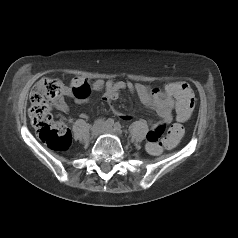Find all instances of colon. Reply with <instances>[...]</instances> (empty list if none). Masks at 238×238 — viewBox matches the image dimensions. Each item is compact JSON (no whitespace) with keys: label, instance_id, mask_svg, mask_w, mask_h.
Here are the masks:
<instances>
[{"label":"colon","instance_id":"1","mask_svg":"<svg viewBox=\"0 0 238 238\" xmlns=\"http://www.w3.org/2000/svg\"><path fill=\"white\" fill-rule=\"evenodd\" d=\"M63 83L56 79L42 78L33 87L30 93L29 117L42 141L51 148L64 150L71 141V134L67 127L60 122H55L52 117V105L64 94ZM176 97V117L180 120H187L191 115L195 99L194 94L187 83L180 82L176 88L171 89ZM165 127L152 128L147 134V150L152 155L161 152L162 147L172 148L183 136V127L174 124L168 130L167 136L161 140ZM161 140V141H160Z\"/></svg>","mask_w":238,"mask_h":238}]
</instances>
